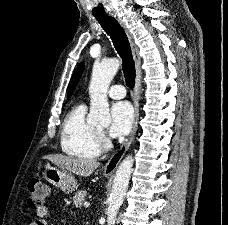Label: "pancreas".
<instances>
[{
    "instance_id": "cf45deb5",
    "label": "pancreas",
    "mask_w": 228,
    "mask_h": 225,
    "mask_svg": "<svg viewBox=\"0 0 228 225\" xmlns=\"http://www.w3.org/2000/svg\"><path fill=\"white\" fill-rule=\"evenodd\" d=\"M85 197H87L86 191H78V193H75L73 197L74 205H76V207H82Z\"/></svg>"
}]
</instances>
